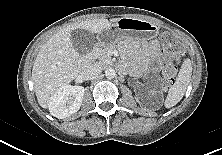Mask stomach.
I'll use <instances>...</instances> for the list:
<instances>
[{"label": "stomach", "mask_w": 222, "mask_h": 155, "mask_svg": "<svg viewBox=\"0 0 222 155\" xmlns=\"http://www.w3.org/2000/svg\"><path fill=\"white\" fill-rule=\"evenodd\" d=\"M158 33V27L149 21L124 17L101 31L98 34V43L100 46H113L119 41L127 40L140 44L156 38Z\"/></svg>", "instance_id": "stomach-1"}]
</instances>
